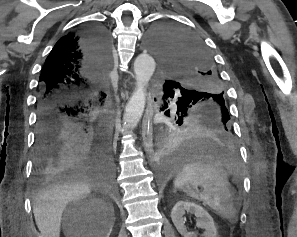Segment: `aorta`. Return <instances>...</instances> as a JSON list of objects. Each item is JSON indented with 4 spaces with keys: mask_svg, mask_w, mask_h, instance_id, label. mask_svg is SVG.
<instances>
[{
    "mask_svg": "<svg viewBox=\"0 0 297 237\" xmlns=\"http://www.w3.org/2000/svg\"><path fill=\"white\" fill-rule=\"evenodd\" d=\"M148 45L154 48L150 39L148 40ZM155 67V60L148 53H142L135 59L134 73L137 86L126 106L123 116V128L126 131L135 128L143 114L146 101L145 87L149 83Z\"/></svg>",
    "mask_w": 297,
    "mask_h": 237,
    "instance_id": "762f6f07",
    "label": "aorta"
}]
</instances>
